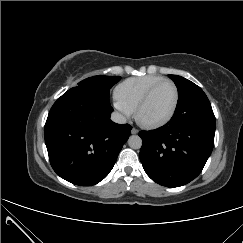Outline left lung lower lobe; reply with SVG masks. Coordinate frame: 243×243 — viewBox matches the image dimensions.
<instances>
[{"mask_svg": "<svg viewBox=\"0 0 243 243\" xmlns=\"http://www.w3.org/2000/svg\"><path fill=\"white\" fill-rule=\"evenodd\" d=\"M215 128L169 121L150 131H140V160L147 175L166 187H179L202 171L214 146Z\"/></svg>", "mask_w": 243, "mask_h": 243, "instance_id": "0a47b994", "label": "left lung lower lobe"}]
</instances>
